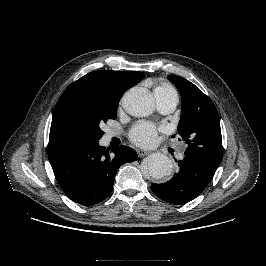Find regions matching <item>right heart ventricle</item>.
Instances as JSON below:
<instances>
[{"label":"right heart ventricle","instance_id":"e07e8e85","mask_svg":"<svg viewBox=\"0 0 266 266\" xmlns=\"http://www.w3.org/2000/svg\"><path fill=\"white\" fill-rule=\"evenodd\" d=\"M154 94L156 98L170 95L177 96L176 90L168 83H160L158 86H156L154 89Z\"/></svg>","mask_w":266,"mask_h":266}]
</instances>
